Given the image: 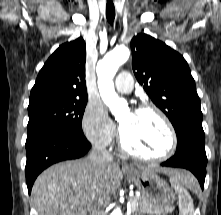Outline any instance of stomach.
Returning <instances> with one entry per match:
<instances>
[{"mask_svg": "<svg viewBox=\"0 0 221 215\" xmlns=\"http://www.w3.org/2000/svg\"><path fill=\"white\" fill-rule=\"evenodd\" d=\"M143 196L160 209H169L176 195L169 185L153 171L125 170Z\"/></svg>", "mask_w": 221, "mask_h": 215, "instance_id": "stomach-1", "label": "stomach"}]
</instances>
